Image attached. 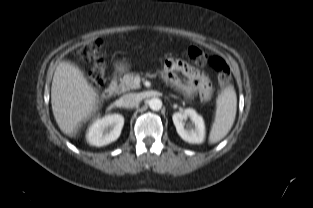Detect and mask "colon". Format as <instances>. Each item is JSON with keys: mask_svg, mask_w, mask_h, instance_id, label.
I'll use <instances>...</instances> for the list:
<instances>
[{"mask_svg": "<svg viewBox=\"0 0 313 208\" xmlns=\"http://www.w3.org/2000/svg\"><path fill=\"white\" fill-rule=\"evenodd\" d=\"M101 49V42L96 40L92 43L84 45L79 50V55L82 58L93 60L99 58ZM189 58L196 64L203 65L208 63L217 73L219 83H227L231 77L230 68L221 58L213 56L208 57L203 51L195 46H191L188 49ZM90 79L96 85H102L105 81L104 70L101 65H97L90 72Z\"/></svg>", "mask_w": 313, "mask_h": 208, "instance_id": "colon-1", "label": "colon"}]
</instances>
